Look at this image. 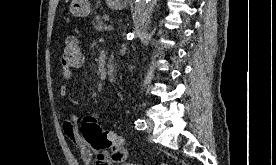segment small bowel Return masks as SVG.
Here are the masks:
<instances>
[{"mask_svg": "<svg viewBox=\"0 0 276 165\" xmlns=\"http://www.w3.org/2000/svg\"><path fill=\"white\" fill-rule=\"evenodd\" d=\"M61 76L64 80H69L72 77V72L61 71ZM59 93L61 97H65L67 95V87L65 85L60 86ZM58 116L65 136L79 149L81 158L86 165H90L93 162L96 165H113L124 160L115 159L108 152H97L94 157L93 149L89 148L79 135L77 117L72 114H62L61 111H58Z\"/></svg>", "mask_w": 276, "mask_h": 165, "instance_id": "small-bowel-1", "label": "small bowel"}]
</instances>
